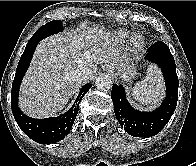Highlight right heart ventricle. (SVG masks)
<instances>
[{
  "mask_svg": "<svg viewBox=\"0 0 196 166\" xmlns=\"http://www.w3.org/2000/svg\"><path fill=\"white\" fill-rule=\"evenodd\" d=\"M117 37L122 40V41H126L129 39L130 37V32L129 31H119L118 34H117Z\"/></svg>",
  "mask_w": 196,
  "mask_h": 166,
  "instance_id": "right-heart-ventricle-1",
  "label": "right heart ventricle"
}]
</instances>
